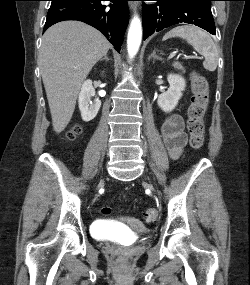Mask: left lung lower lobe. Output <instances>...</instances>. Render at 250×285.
<instances>
[{
	"instance_id": "1",
	"label": "left lung lower lobe",
	"mask_w": 250,
	"mask_h": 285,
	"mask_svg": "<svg viewBox=\"0 0 250 285\" xmlns=\"http://www.w3.org/2000/svg\"><path fill=\"white\" fill-rule=\"evenodd\" d=\"M147 1V0H141ZM155 4H143V39L154 32L178 23L199 26L215 35L211 3L203 0H153Z\"/></svg>"
}]
</instances>
